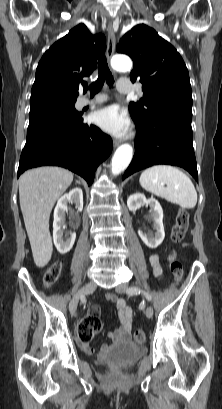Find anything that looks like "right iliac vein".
I'll return each mask as SVG.
<instances>
[{
	"label": "right iliac vein",
	"instance_id": "obj_1",
	"mask_svg": "<svg viewBox=\"0 0 222 409\" xmlns=\"http://www.w3.org/2000/svg\"><path fill=\"white\" fill-rule=\"evenodd\" d=\"M96 289V283L95 282H89L87 283L70 301L69 304V311L72 315L76 314L77 306L79 300L84 297L87 294H90Z\"/></svg>",
	"mask_w": 222,
	"mask_h": 409
}]
</instances>
